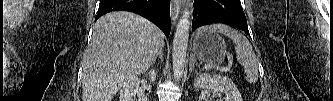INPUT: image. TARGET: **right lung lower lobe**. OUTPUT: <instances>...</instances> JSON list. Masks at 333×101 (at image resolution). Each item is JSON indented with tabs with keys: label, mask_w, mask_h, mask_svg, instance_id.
I'll use <instances>...</instances> for the list:
<instances>
[{
	"label": "right lung lower lobe",
	"mask_w": 333,
	"mask_h": 101,
	"mask_svg": "<svg viewBox=\"0 0 333 101\" xmlns=\"http://www.w3.org/2000/svg\"><path fill=\"white\" fill-rule=\"evenodd\" d=\"M130 11L156 24L166 35L170 34V0H100L95 21L112 11Z\"/></svg>",
	"instance_id": "right-lung-lower-lobe-1"
}]
</instances>
